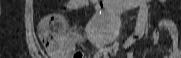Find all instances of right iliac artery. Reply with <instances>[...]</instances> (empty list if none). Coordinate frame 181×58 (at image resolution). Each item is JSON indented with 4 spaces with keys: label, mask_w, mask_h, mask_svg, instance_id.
Here are the masks:
<instances>
[{
    "label": "right iliac artery",
    "mask_w": 181,
    "mask_h": 58,
    "mask_svg": "<svg viewBox=\"0 0 181 58\" xmlns=\"http://www.w3.org/2000/svg\"><path fill=\"white\" fill-rule=\"evenodd\" d=\"M134 42H135V38L133 36H130L124 43L123 47L127 48V47L131 46Z\"/></svg>",
    "instance_id": "1"
}]
</instances>
